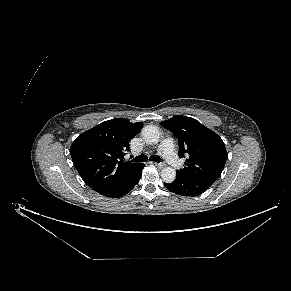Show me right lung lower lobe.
Here are the masks:
<instances>
[{
	"mask_svg": "<svg viewBox=\"0 0 291 291\" xmlns=\"http://www.w3.org/2000/svg\"><path fill=\"white\" fill-rule=\"evenodd\" d=\"M144 164H140L138 168L129 176L117 181L114 184H110L104 187H100L94 189L101 195L111 197V198H118L126 195L130 192L134 186L139 182L142 169L144 168Z\"/></svg>",
	"mask_w": 291,
	"mask_h": 291,
	"instance_id": "obj_1",
	"label": "right lung lower lobe"
}]
</instances>
